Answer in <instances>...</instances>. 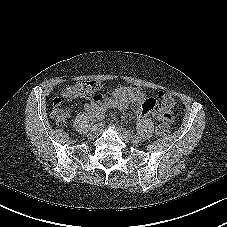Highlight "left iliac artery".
<instances>
[{
  "label": "left iliac artery",
  "mask_w": 227,
  "mask_h": 227,
  "mask_svg": "<svg viewBox=\"0 0 227 227\" xmlns=\"http://www.w3.org/2000/svg\"><path fill=\"white\" fill-rule=\"evenodd\" d=\"M142 138H143V137H142V135H140V134L136 136V139L139 140V141L142 140Z\"/></svg>",
  "instance_id": "obj_1"
}]
</instances>
